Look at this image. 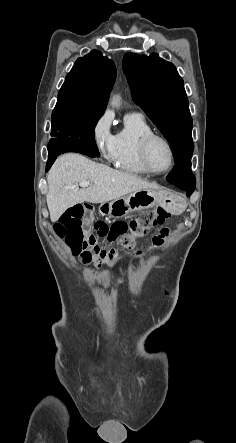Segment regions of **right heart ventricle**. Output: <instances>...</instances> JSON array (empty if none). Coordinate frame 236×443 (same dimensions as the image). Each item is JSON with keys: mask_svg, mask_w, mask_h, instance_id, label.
I'll return each instance as SVG.
<instances>
[{"mask_svg": "<svg viewBox=\"0 0 236 443\" xmlns=\"http://www.w3.org/2000/svg\"><path fill=\"white\" fill-rule=\"evenodd\" d=\"M153 130L142 115L129 114L123 127L115 135V149L112 162L124 172L145 175L149 172L144 168L139 156L141 139Z\"/></svg>", "mask_w": 236, "mask_h": 443, "instance_id": "1", "label": "right heart ventricle"}]
</instances>
